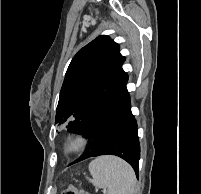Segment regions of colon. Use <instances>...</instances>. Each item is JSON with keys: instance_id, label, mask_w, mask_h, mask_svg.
Returning a JSON list of instances; mask_svg holds the SVG:
<instances>
[{"instance_id": "1", "label": "colon", "mask_w": 201, "mask_h": 194, "mask_svg": "<svg viewBox=\"0 0 201 194\" xmlns=\"http://www.w3.org/2000/svg\"><path fill=\"white\" fill-rule=\"evenodd\" d=\"M62 194H89V193H87L85 190L81 188L70 186Z\"/></svg>"}]
</instances>
